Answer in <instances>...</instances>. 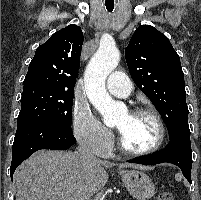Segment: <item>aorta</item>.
<instances>
[{"label":"aorta","mask_w":201,"mask_h":200,"mask_svg":"<svg viewBox=\"0 0 201 200\" xmlns=\"http://www.w3.org/2000/svg\"><path fill=\"white\" fill-rule=\"evenodd\" d=\"M119 61L120 52L114 42H101L85 71L87 96L92 105L102 114L106 125L113 124L118 119L116 102L108 94L105 81Z\"/></svg>","instance_id":"obj_1"}]
</instances>
